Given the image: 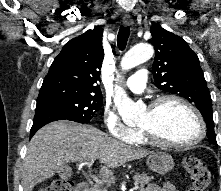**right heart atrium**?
Segmentation results:
<instances>
[{"label":"right heart atrium","instance_id":"obj_1","mask_svg":"<svg viewBox=\"0 0 221 191\" xmlns=\"http://www.w3.org/2000/svg\"><path fill=\"white\" fill-rule=\"evenodd\" d=\"M103 123L107 133L118 140L131 143L138 134V129L127 126L114 108L107 106L103 112Z\"/></svg>","mask_w":221,"mask_h":191}]
</instances>
